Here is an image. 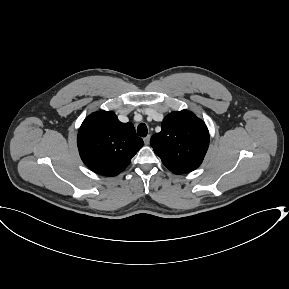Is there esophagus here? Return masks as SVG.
<instances>
[{"instance_id": "1", "label": "esophagus", "mask_w": 289, "mask_h": 289, "mask_svg": "<svg viewBox=\"0 0 289 289\" xmlns=\"http://www.w3.org/2000/svg\"><path fill=\"white\" fill-rule=\"evenodd\" d=\"M143 140H144L145 145H149V143H150V135L146 136Z\"/></svg>"}]
</instances>
